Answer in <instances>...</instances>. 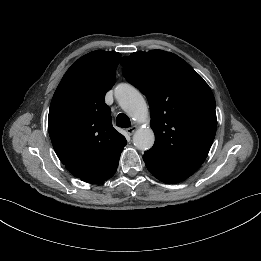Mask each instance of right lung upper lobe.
Returning <instances> with one entry per match:
<instances>
[{"label":"right lung upper lobe","mask_w":261,"mask_h":261,"mask_svg":"<svg viewBox=\"0 0 261 261\" xmlns=\"http://www.w3.org/2000/svg\"><path fill=\"white\" fill-rule=\"evenodd\" d=\"M121 54L94 51L79 58L58 85L48 115L54 150L65 167L87 183L114 175L125 137L112 127L104 98L116 79Z\"/></svg>","instance_id":"right-lung-upper-lobe-1"}]
</instances>
